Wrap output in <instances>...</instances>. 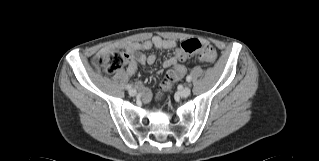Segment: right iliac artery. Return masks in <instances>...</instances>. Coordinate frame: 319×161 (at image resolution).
<instances>
[{
    "mask_svg": "<svg viewBox=\"0 0 319 161\" xmlns=\"http://www.w3.org/2000/svg\"><path fill=\"white\" fill-rule=\"evenodd\" d=\"M128 90L132 89V86L131 85H127L126 87Z\"/></svg>",
    "mask_w": 319,
    "mask_h": 161,
    "instance_id": "1",
    "label": "right iliac artery"
}]
</instances>
